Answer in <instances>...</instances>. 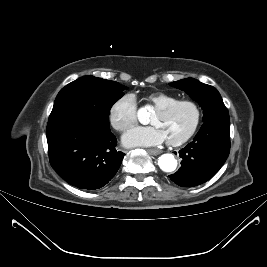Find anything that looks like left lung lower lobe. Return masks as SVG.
<instances>
[{
    "label": "left lung lower lobe",
    "mask_w": 267,
    "mask_h": 267,
    "mask_svg": "<svg viewBox=\"0 0 267 267\" xmlns=\"http://www.w3.org/2000/svg\"><path fill=\"white\" fill-rule=\"evenodd\" d=\"M229 133V119L204 122L193 141L179 151L182 165L169 178L182 187H194L211 179L229 155Z\"/></svg>",
    "instance_id": "1"
}]
</instances>
